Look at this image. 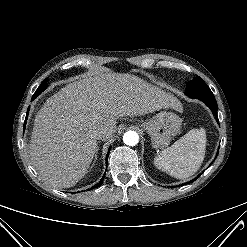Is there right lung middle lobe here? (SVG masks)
<instances>
[{
	"label": "right lung middle lobe",
	"mask_w": 247,
	"mask_h": 247,
	"mask_svg": "<svg viewBox=\"0 0 247 247\" xmlns=\"http://www.w3.org/2000/svg\"><path fill=\"white\" fill-rule=\"evenodd\" d=\"M47 81H48V78H46L43 81V83L38 87V89L36 90L34 94L39 95L40 93H42L47 88Z\"/></svg>",
	"instance_id": "obj_1"
}]
</instances>
